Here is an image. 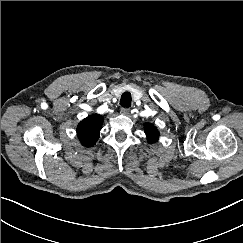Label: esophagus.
<instances>
[{
  "mask_svg": "<svg viewBox=\"0 0 243 243\" xmlns=\"http://www.w3.org/2000/svg\"><path fill=\"white\" fill-rule=\"evenodd\" d=\"M130 112V109L129 108H122L121 109V113L124 114V115H128Z\"/></svg>",
  "mask_w": 243,
  "mask_h": 243,
  "instance_id": "34e87169",
  "label": "esophagus"
}]
</instances>
